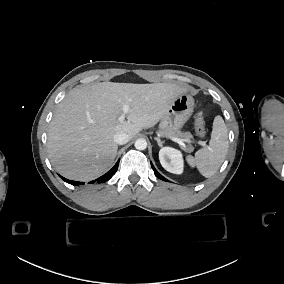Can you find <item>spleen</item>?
Returning <instances> with one entry per match:
<instances>
[{"label": "spleen", "mask_w": 284, "mask_h": 284, "mask_svg": "<svg viewBox=\"0 0 284 284\" xmlns=\"http://www.w3.org/2000/svg\"><path fill=\"white\" fill-rule=\"evenodd\" d=\"M228 148V130L223 118L218 115L213 121L209 146L198 150L195 157L188 155L186 160L191 167L197 166L200 173L209 178L218 171L224 162Z\"/></svg>", "instance_id": "spleen-1"}]
</instances>
